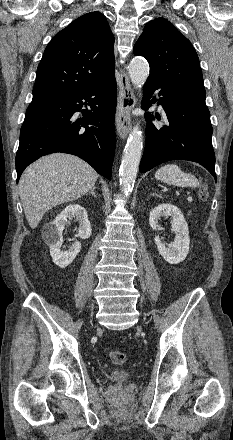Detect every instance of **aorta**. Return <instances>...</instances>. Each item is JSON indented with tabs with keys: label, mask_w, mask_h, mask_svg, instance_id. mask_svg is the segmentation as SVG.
Returning <instances> with one entry per match:
<instances>
[{
	"label": "aorta",
	"mask_w": 233,
	"mask_h": 440,
	"mask_svg": "<svg viewBox=\"0 0 233 440\" xmlns=\"http://www.w3.org/2000/svg\"><path fill=\"white\" fill-rule=\"evenodd\" d=\"M128 72L133 86L136 89H141L149 76V65L144 58L135 57L129 63ZM142 148V131L139 124H136L127 140L120 166V184L126 196L134 186L142 156Z\"/></svg>",
	"instance_id": "obj_1"
}]
</instances>
